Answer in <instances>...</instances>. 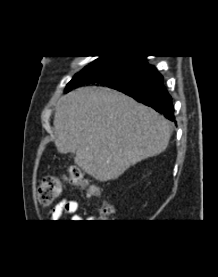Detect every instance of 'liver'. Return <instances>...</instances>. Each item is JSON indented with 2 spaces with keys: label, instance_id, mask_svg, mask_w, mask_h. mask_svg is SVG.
<instances>
[{
  "label": "liver",
  "instance_id": "6515ba94",
  "mask_svg": "<svg viewBox=\"0 0 218 277\" xmlns=\"http://www.w3.org/2000/svg\"><path fill=\"white\" fill-rule=\"evenodd\" d=\"M53 124L58 152L76 153L75 164L100 182L160 154L170 137L163 116L105 87H81L62 96Z\"/></svg>",
  "mask_w": 218,
  "mask_h": 277
}]
</instances>
